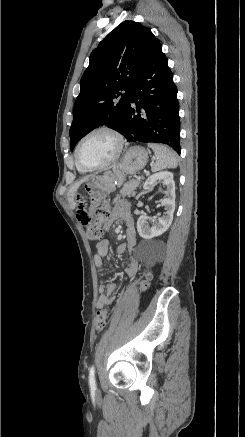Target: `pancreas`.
Wrapping results in <instances>:
<instances>
[{
  "mask_svg": "<svg viewBox=\"0 0 245 437\" xmlns=\"http://www.w3.org/2000/svg\"><path fill=\"white\" fill-rule=\"evenodd\" d=\"M141 183L140 180H130L129 182L125 183L123 188L120 190V195L122 196H130L132 195L136 188L139 186V184ZM119 195L116 196V198L114 199V202L117 201L119 199Z\"/></svg>",
  "mask_w": 245,
  "mask_h": 437,
  "instance_id": "pancreas-1",
  "label": "pancreas"
}]
</instances>
